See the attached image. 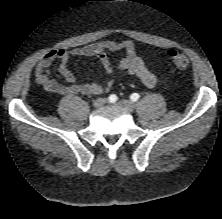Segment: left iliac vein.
I'll return each mask as SVG.
<instances>
[{
	"instance_id": "left-iliac-vein-1",
	"label": "left iliac vein",
	"mask_w": 222,
	"mask_h": 219,
	"mask_svg": "<svg viewBox=\"0 0 222 219\" xmlns=\"http://www.w3.org/2000/svg\"><path fill=\"white\" fill-rule=\"evenodd\" d=\"M119 106L123 107L128 112H132L134 110V104L129 100H121L119 101Z\"/></svg>"
}]
</instances>
